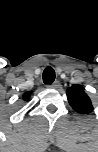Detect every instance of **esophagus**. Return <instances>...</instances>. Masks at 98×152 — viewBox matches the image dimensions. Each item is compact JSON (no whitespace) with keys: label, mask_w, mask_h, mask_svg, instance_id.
I'll list each match as a JSON object with an SVG mask.
<instances>
[{"label":"esophagus","mask_w":98,"mask_h":152,"mask_svg":"<svg viewBox=\"0 0 98 152\" xmlns=\"http://www.w3.org/2000/svg\"><path fill=\"white\" fill-rule=\"evenodd\" d=\"M59 86H60L59 81H55L53 84L47 85L48 88H53V89L58 88Z\"/></svg>","instance_id":"34e87169"}]
</instances>
